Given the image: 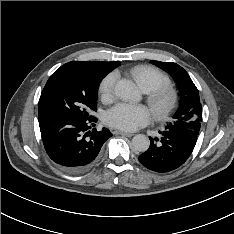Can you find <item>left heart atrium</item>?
<instances>
[{
	"label": "left heart atrium",
	"mask_w": 234,
	"mask_h": 234,
	"mask_svg": "<svg viewBox=\"0 0 234 234\" xmlns=\"http://www.w3.org/2000/svg\"><path fill=\"white\" fill-rule=\"evenodd\" d=\"M104 120L114 128L134 131L150 122L151 113L142 105L118 104L105 113Z\"/></svg>",
	"instance_id": "obj_1"
}]
</instances>
